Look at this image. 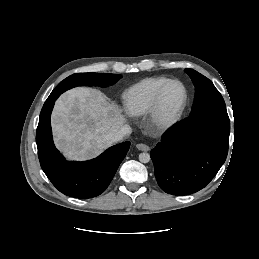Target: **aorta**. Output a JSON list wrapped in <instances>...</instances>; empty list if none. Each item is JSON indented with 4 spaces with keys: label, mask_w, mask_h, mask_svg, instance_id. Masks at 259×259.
Returning a JSON list of instances; mask_svg holds the SVG:
<instances>
[{
    "label": "aorta",
    "mask_w": 259,
    "mask_h": 259,
    "mask_svg": "<svg viewBox=\"0 0 259 259\" xmlns=\"http://www.w3.org/2000/svg\"><path fill=\"white\" fill-rule=\"evenodd\" d=\"M139 161L142 163H148L150 161V155L148 153H140L139 154Z\"/></svg>",
    "instance_id": "762f6f07"
}]
</instances>
